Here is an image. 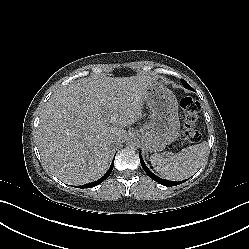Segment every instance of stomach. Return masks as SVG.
<instances>
[{"label": "stomach", "instance_id": "obj_1", "mask_svg": "<svg viewBox=\"0 0 249 249\" xmlns=\"http://www.w3.org/2000/svg\"><path fill=\"white\" fill-rule=\"evenodd\" d=\"M143 99L151 111V121L140 133L147 148L162 150L178 138L180 131L175 97L168 88L151 82Z\"/></svg>", "mask_w": 249, "mask_h": 249}]
</instances>
